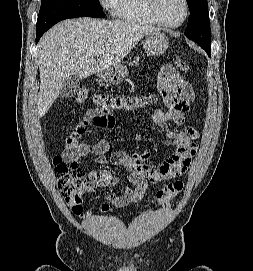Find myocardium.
Segmentation results:
<instances>
[{"label": "myocardium", "instance_id": "f54148a6", "mask_svg": "<svg viewBox=\"0 0 253 271\" xmlns=\"http://www.w3.org/2000/svg\"><path fill=\"white\" fill-rule=\"evenodd\" d=\"M157 2H158L157 0H147V7H148V10H149L150 14L152 15V17L161 26H164L166 28H172V29L178 28V27L182 26L186 22V20L188 19L189 12H190V6H189L188 0H183L184 7H185V13H184V17L182 18V20L177 24H170V23L166 22L160 16V13H159L158 7H157Z\"/></svg>", "mask_w": 253, "mask_h": 271}]
</instances>
